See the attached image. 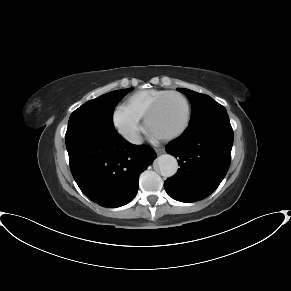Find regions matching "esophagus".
<instances>
[{
  "mask_svg": "<svg viewBox=\"0 0 291 291\" xmlns=\"http://www.w3.org/2000/svg\"><path fill=\"white\" fill-rule=\"evenodd\" d=\"M155 152L160 155V154H163L165 152V150L163 148H156L155 149Z\"/></svg>",
  "mask_w": 291,
  "mask_h": 291,
  "instance_id": "1",
  "label": "esophagus"
}]
</instances>
